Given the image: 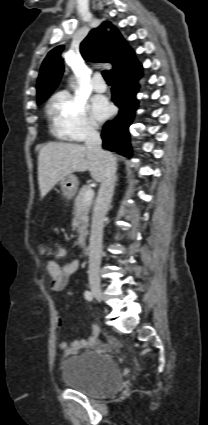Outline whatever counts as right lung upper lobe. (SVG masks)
Returning a JSON list of instances; mask_svg holds the SVG:
<instances>
[{
	"instance_id": "cb5924a9",
	"label": "right lung upper lobe",
	"mask_w": 208,
	"mask_h": 425,
	"mask_svg": "<svg viewBox=\"0 0 208 425\" xmlns=\"http://www.w3.org/2000/svg\"><path fill=\"white\" fill-rule=\"evenodd\" d=\"M63 46L52 49L43 61L37 82L38 103L49 97L57 87L64 66L60 53ZM84 59L91 62H108L113 65L111 76L133 66L137 60L118 29L105 21L92 29L80 45Z\"/></svg>"
}]
</instances>
